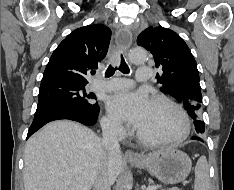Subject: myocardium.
Instances as JSON below:
<instances>
[{"mask_svg": "<svg viewBox=\"0 0 234 190\" xmlns=\"http://www.w3.org/2000/svg\"><path fill=\"white\" fill-rule=\"evenodd\" d=\"M152 102L164 103L170 106L173 110H175L181 120L182 129L180 133L177 134L176 136L157 137V138L147 137L143 135L139 130H136V137L138 138V140L143 144L152 145V146L165 145V144H178L183 142L189 136L191 130L189 117L186 111L183 109V107L172 98L163 94L155 95L152 98Z\"/></svg>", "mask_w": 234, "mask_h": 190, "instance_id": "f54148a6", "label": "myocardium"}]
</instances>
